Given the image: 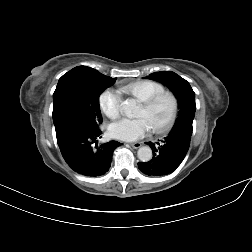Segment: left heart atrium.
Masks as SVG:
<instances>
[{
    "label": "left heart atrium",
    "instance_id": "left-heart-atrium-1",
    "mask_svg": "<svg viewBox=\"0 0 252 252\" xmlns=\"http://www.w3.org/2000/svg\"><path fill=\"white\" fill-rule=\"evenodd\" d=\"M149 129L143 117L122 118L110 125L109 133L112 137L120 140L134 141L142 138Z\"/></svg>",
    "mask_w": 252,
    "mask_h": 252
}]
</instances>
